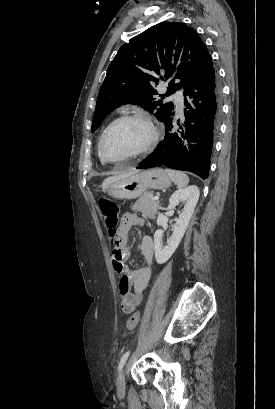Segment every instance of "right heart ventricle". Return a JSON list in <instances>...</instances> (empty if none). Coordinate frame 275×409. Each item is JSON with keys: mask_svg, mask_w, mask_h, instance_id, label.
Masks as SVG:
<instances>
[{"mask_svg": "<svg viewBox=\"0 0 275 409\" xmlns=\"http://www.w3.org/2000/svg\"><path fill=\"white\" fill-rule=\"evenodd\" d=\"M105 130H106V129H105ZM105 130L102 132V134H101V136H100V139H99V144H100L101 138H102V136H103V134H104Z\"/></svg>", "mask_w": 275, "mask_h": 409, "instance_id": "e07e8e85", "label": "right heart ventricle"}]
</instances>
